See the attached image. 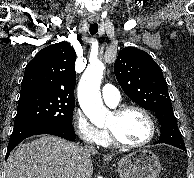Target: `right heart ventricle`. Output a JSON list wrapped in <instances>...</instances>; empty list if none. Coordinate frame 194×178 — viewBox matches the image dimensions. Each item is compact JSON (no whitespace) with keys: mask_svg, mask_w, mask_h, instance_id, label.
I'll list each match as a JSON object with an SVG mask.
<instances>
[{"mask_svg":"<svg viewBox=\"0 0 194 178\" xmlns=\"http://www.w3.org/2000/svg\"><path fill=\"white\" fill-rule=\"evenodd\" d=\"M100 144L103 145V146H106V147L112 145V143H111V141L109 139V136H108L106 131H104V136H103V139H102Z\"/></svg>","mask_w":194,"mask_h":178,"instance_id":"e07e8e85","label":"right heart ventricle"}]
</instances>
